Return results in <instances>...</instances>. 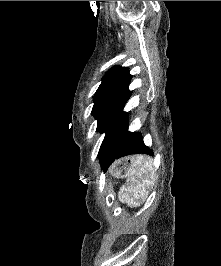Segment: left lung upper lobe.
I'll list each match as a JSON object with an SVG mask.
<instances>
[{
	"mask_svg": "<svg viewBox=\"0 0 221 266\" xmlns=\"http://www.w3.org/2000/svg\"><path fill=\"white\" fill-rule=\"evenodd\" d=\"M131 75L126 67H112L102 78L94 96L92 115L97 119V130L105 132L120 108L131 96L128 86Z\"/></svg>",
	"mask_w": 221,
	"mask_h": 266,
	"instance_id": "left-lung-upper-lobe-1",
	"label": "left lung upper lobe"
}]
</instances>
